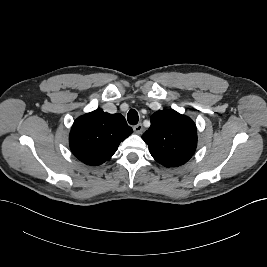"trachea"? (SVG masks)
I'll return each mask as SVG.
<instances>
[{
    "label": "trachea",
    "mask_w": 267,
    "mask_h": 267,
    "mask_svg": "<svg viewBox=\"0 0 267 267\" xmlns=\"http://www.w3.org/2000/svg\"><path fill=\"white\" fill-rule=\"evenodd\" d=\"M127 120L129 122V124L131 125H136L139 121V116L138 113L136 112V110L131 109L128 114H127Z\"/></svg>",
    "instance_id": "trachea-1"
}]
</instances>
